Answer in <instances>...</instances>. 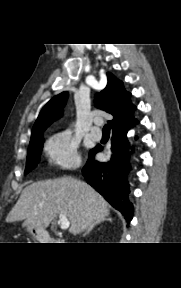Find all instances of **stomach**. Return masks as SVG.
<instances>
[{
	"label": "stomach",
	"instance_id": "stomach-1",
	"mask_svg": "<svg viewBox=\"0 0 181 288\" xmlns=\"http://www.w3.org/2000/svg\"><path fill=\"white\" fill-rule=\"evenodd\" d=\"M27 231L39 241H42L45 236L43 232H38L33 228H27Z\"/></svg>",
	"mask_w": 181,
	"mask_h": 288
}]
</instances>
